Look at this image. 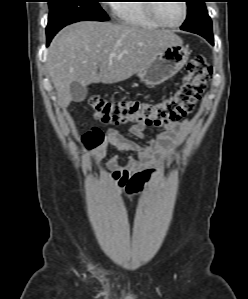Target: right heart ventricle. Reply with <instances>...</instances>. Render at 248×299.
Wrapping results in <instances>:
<instances>
[{
	"mask_svg": "<svg viewBox=\"0 0 248 299\" xmlns=\"http://www.w3.org/2000/svg\"><path fill=\"white\" fill-rule=\"evenodd\" d=\"M113 9L118 21L122 24L142 28L161 27L150 15L148 0L118 1Z\"/></svg>",
	"mask_w": 248,
	"mask_h": 299,
	"instance_id": "right-heart-ventricle-1",
	"label": "right heart ventricle"
}]
</instances>
